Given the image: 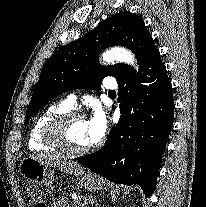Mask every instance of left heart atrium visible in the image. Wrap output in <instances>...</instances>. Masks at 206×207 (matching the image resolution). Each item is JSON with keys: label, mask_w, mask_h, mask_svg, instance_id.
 Listing matches in <instances>:
<instances>
[{"label": "left heart atrium", "mask_w": 206, "mask_h": 207, "mask_svg": "<svg viewBox=\"0 0 206 207\" xmlns=\"http://www.w3.org/2000/svg\"><path fill=\"white\" fill-rule=\"evenodd\" d=\"M89 128V140L91 145L99 142L107 130V120L101 109H96L92 117L87 121Z\"/></svg>", "instance_id": "obj_1"}]
</instances>
